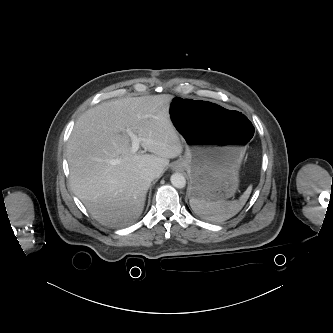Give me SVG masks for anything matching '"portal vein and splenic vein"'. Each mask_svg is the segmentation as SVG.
I'll return each mask as SVG.
<instances>
[{
	"label": "portal vein and splenic vein",
	"mask_w": 333,
	"mask_h": 333,
	"mask_svg": "<svg viewBox=\"0 0 333 333\" xmlns=\"http://www.w3.org/2000/svg\"><path fill=\"white\" fill-rule=\"evenodd\" d=\"M125 131L131 139L132 146H131L130 151L133 154L136 153L139 150V145H140L141 141H148L147 139L138 137L135 133L132 132L131 129H126ZM119 163H120L119 159H113L111 161V164H113V165H116V164H119Z\"/></svg>",
	"instance_id": "obj_1"
}]
</instances>
